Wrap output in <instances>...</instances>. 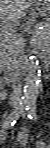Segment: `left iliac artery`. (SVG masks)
Returning a JSON list of instances; mask_svg holds the SVG:
<instances>
[{
	"label": "left iliac artery",
	"mask_w": 50,
	"mask_h": 148,
	"mask_svg": "<svg viewBox=\"0 0 50 148\" xmlns=\"http://www.w3.org/2000/svg\"><path fill=\"white\" fill-rule=\"evenodd\" d=\"M27 111H28V117L31 120H36L37 119V115L35 112V104L34 103H30L27 107Z\"/></svg>",
	"instance_id": "left-iliac-artery-1"
}]
</instances>
